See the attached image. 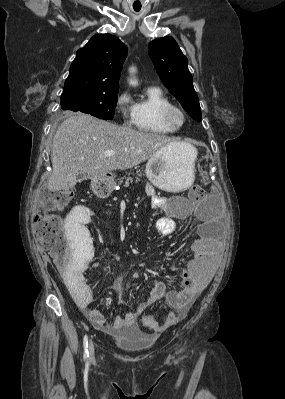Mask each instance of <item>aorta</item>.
<instances>
[{
    "instance_id": "obj_1",
    "label": "aorta",
    "mask_w": 285,
    "mask_h": 399,
    "mask_svg": "<svg viewBox=\"0 0 285 399\" xmlns=\"http://www.w3.org/2000/svg\"><path fill=\"white\" fill-rule=\"evenodd\" d=\"M129 72L131 74H134L136 72V68L135 67L129 68ZM129 84L132 85V86H136L138 84V82H137L136 79L132 78V79H130Z\"/></svg>"
}]
</instances>
